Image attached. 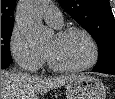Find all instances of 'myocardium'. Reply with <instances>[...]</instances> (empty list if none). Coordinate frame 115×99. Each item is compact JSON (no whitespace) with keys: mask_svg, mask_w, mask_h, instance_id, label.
<instances>
[{"mask_svg":"<svg viewBox=\"0 0 115 99\" xmlns=\"http://www.w3.org/2000/svg\"><path fill=\"white\" fill-rule=\"evenodd\" d=\"M73 33L81 34L88 41L91 48V56L89 60L86 63L82 65H78V66H60V65H57L47 53H45V58L48 63V66L52 70L56 72H80V71L90 69L96 64L98 60V56H99V50H98V46L95 39L92 37V35L88 31L79 27H68V28H64L58 31L56 33V36L63 37V36H67Z\"/></svg>","mask_w":115,"mask_h":99,"instance_id":"obj_1","label":"myocardium"}]
</instances>
